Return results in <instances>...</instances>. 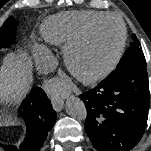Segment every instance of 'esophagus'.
Masks as SVG:
<instances>
[{
	"label": "esophagus",
	"mask_w": 151,
	"mask_h": 151,
	"mask_svg": "<svg viewBox=\"0 0 151 151\" xmlns=\"http://www.w3.org/2000/svg\"><path fill=\"white\" fill-rule=\"evenodd\" d=\"M51 103H52V106L53 108L56 110V111H61L63 109V99L58 96V95H52L51 96Z\"/></svg>",
	"instance_id": "34e87169"
}]
</instances>
